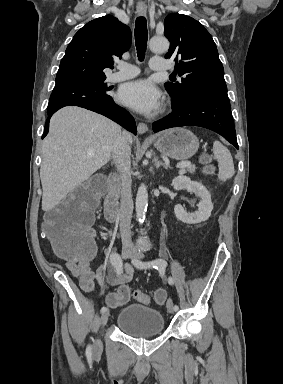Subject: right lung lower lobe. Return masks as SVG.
<instances>
[{"instance_id": "right-lung-lower-lobe-1", "label": "right lung lower lobe", "mask_w": 283, "mask_h": 384, "mask_svg": "<svg viewBox=\"0 0 283 384\" xmlns=\"http://www.w3.org/2000/svg\"><path fill=\"white\" fill-rule=\"evenodd\" d=\"M73 105L83 107L91 111L97 112L99 114H102L110 118L111 120L115 121L116 123L120 124L122 127L127 129L128 131H131L132 133L136 134L137 129H136L134 118L127 110L116 105L112 97L108 99L87 101V102L77 103ZM60 108L62 107H59V108L48 107L47 113L49 117L46 121L45 130L42 138H44L48 133L50 117L52 116L53 113H55Z\"/></svg>"}]
</instances>
